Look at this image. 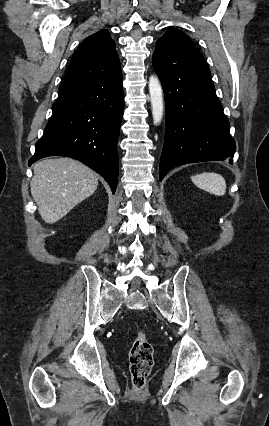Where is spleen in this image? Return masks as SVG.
<instances>
[{
    "label": "spleen",
    "mask_w": 269,
    "mask_h": 426,
    "mask_svg": "<svg viewBox=\"0 0 269 426\" xmlns=\"http://www.w3.org/2000/svg\"><path fill=\"white\" fill-rule=\"evenodd\" d=\"M191 179L199 188L216 196H223L226 192V181L220 174L202 173L192 176Z\"/></svg>",
    "instance_id": "1"
}]
</instances>
